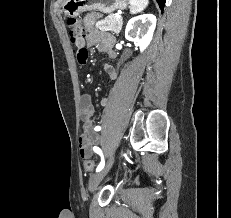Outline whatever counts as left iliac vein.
Returning a JSON list of instances; mask_svg holds the SVG:
<instances>
[{
  "mask_svg": "<svg viewBox=\"0 0 231 218\" xmlns=\"http://www.w3.org/2000/svg\"><path fill=\"white\" fill-rule=\"evenodd\" d=\"M114 162V155L111 154L106 166L99 172L93 174L89 179V190L94 191L105 175L108 173Z\"/></svg>",
  "mask_w": 231,
  "mask_h": 218,
  "instance_id": "4c4485c4",
  "label": "left iliac vein"
}]
</instances>
